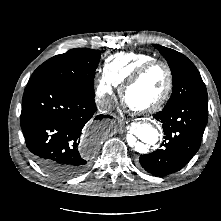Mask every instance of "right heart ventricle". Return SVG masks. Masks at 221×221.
<instances>
[{"label":"right heart ventricle","mask_w":221,"mask_h":221,"mask_svg":"<svg viewBox=\"0 0 221 221\" xmlns=\"http://www.w3.org/2000/svg\"><path fill=\"white\" fill-rule=\"evenodd\" d=\"M156 59L143 52H121L108 57L104 64V73L116 85L123 84L142 64Z\"/></svg>","instance_id":"e07e8e85"}]
</instances>
